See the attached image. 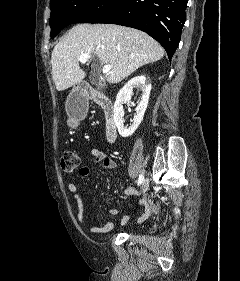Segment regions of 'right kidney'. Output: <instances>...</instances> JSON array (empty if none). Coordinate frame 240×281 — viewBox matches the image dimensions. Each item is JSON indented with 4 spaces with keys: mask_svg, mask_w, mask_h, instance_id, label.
Returning <instances> with one entry per match:
<instances>
[{
    "mask_svg": "<svg viewBox=\"0 0 240 281\" xmlns=\"http://www.w3.org/2000/svg\"><path fill=\"white\" fill-rule=\"evenodd\" d=\"M136 86L139 87L142 91L141 101L135 109L136 115L134 117L132 125L126 127L124 126L125 120L123 118V103L130 101L131 96L133 94V88ZM150 91L151 84L147 81V78L145 76L141 75L134 77L130 81H128L117 94L116 101L114 103V122L119 134L122 137L131 136L141 124L144 117V113L148 106Z\"/></svg>",
    "mask_w": 240,
    "mask_h": 281,
    "instance_id": "ca27d5eb",
    "label": "right kidney"
}]
</instances>
